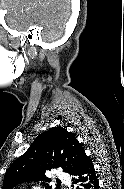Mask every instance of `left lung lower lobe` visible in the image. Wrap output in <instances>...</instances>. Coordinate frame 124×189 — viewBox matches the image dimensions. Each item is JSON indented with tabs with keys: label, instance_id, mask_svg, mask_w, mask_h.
<instances>
[{
	"label": "left lung lower lobe",
	"instance_id": "left-lung-lower-lobe-1",
	"mask_svg": "<svg viewBox=\"0 0 124 189\" xmlns=\"http://www.w3.org/2000/svg\"><path fill=\"white\" fill-rule=\"evenodd\" d=\"M76 189H100L94 165L87 155L83 157L80 167L72 174Z\"/></svg>",
	"mask_w": 124,
	"mask_h": 189
}]
</instances>
